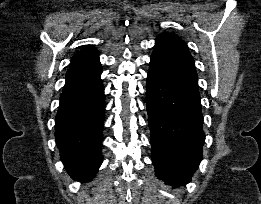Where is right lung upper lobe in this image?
I'll return each mask as SVG.
<instances>
[{"mask_svg":"<svg viewBox=\"0 0 261 204\" xmlns=\"http://www.w3.org/2000/svg\"><path fill=\"white\" fill-rule=\"evenodd\" d=\"M98 58V51L92 47H86L77 52L70 63V67L84 64Z\"/></svg>","mask_w":261,"mask_h":204,"instance_id":"obj_1","label":"right lung upper lobe"}]
</instances>
